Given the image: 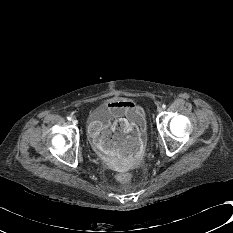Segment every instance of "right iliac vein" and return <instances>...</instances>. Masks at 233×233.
I'll use <instances>...</instances> for the list:
<instances>
[{"mask_svg":"<svg viewBox=\"0 0 233 233\" xmlns=\"http://www.w3.org/2000/svg\"><path fill=\"white\" fill-rule=\"evenodd\" d=\"M72 123H73L74 125H77V124H78V121H77L76 119H73V120H72Z\"/></svg>","mask_w":233,"mask_h":233,"instance_id":"right-iliac-vein-1","label":"right iliac vein"}]
</instances>
